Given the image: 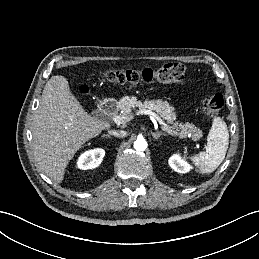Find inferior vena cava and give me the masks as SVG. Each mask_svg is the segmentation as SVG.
I'll return each mask as SVG.
<instances>
[{"instance_id":"602c4592","label":"inferior vena cava","mask_w":259,"mask_h":259,"mask_svg":"<svg viewBox=\"0 0 259 259\" xmlns=\"http://www.w3.org/2000/svg\"><path fill=\"white\" fill-rule=\"evenodd\" d=\"M108 133L119 138H123L126 136V132L123 130H110L108 131Z\"/></svg>"}]
</instances>
